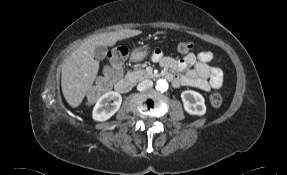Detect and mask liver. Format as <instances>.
I'll return each mask as SVG.
<instances>
[{
	"instance_id": "6515ba94",
	"label": "liver",
	"mask_w": 287,
	"mask_h": 175,
	"mask_svg": "<svg viewBox=\"0 0 287 175\" xmlns=\"http://www.w3.org/2000/svg\"><path fill=\"white\" fill-rule=\"evenodd\" d=\"M141 34L140 30L122 29L94 35L83 41L65 60L61 73V87L65 100L73 108L78 107L92 88L99 71L95 58L98 46H113L118 40Z\"/></svg>"
}]
</instances>
